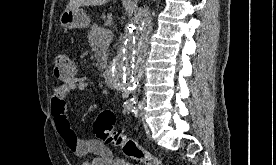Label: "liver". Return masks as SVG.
Masks as SVG:
<instances>
[{
    "label": "liver",
    "instance_id": "obj_1",
    "mask_svg": "<svg viewBox=\"0 0 276 165\" xmlns=\"http://www.w3.org/2000/svg\"><path fill=\"white\" fill-rule=\"evenodd\" d=\"M109 0H70L66 10H76L81 6H101L108 2Z\"/></svg>",
    "mask_w": 276,
    "mask_h": 165
}]
</instances>
